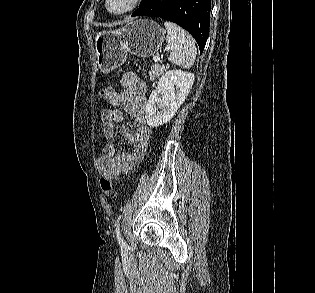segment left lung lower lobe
<instances>
[{
  "instance_id": "left-lung-lower-lobe-1",
  "label": "left lung lower lobe",
  "mask_w": 315,
  "mask_h": 293,
  "mask_svg": "<svg viewBox=\"0 0 315 293\" xmlns=\"http://www.w3.org/2000/svg\"><path fill=\"white\" fill-rule=\"evenodd\" d=\"M211 0H145L132 16L161 17L186 29L197 41L200 53L209 33Z\"/></svg>"
}]
</instances>
